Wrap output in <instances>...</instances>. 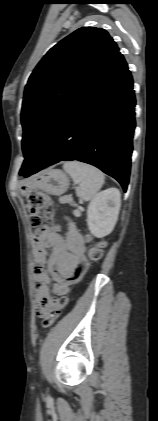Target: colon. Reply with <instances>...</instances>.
Segmentation results:
<instances>
[{
    "instance_id": "5ec220e1",
    "label": "colon",
    "mask_w": 158,
    "mask_h": 421,
    "mask_svg": "<svg viewBox=\"0 0 158 421\" xmlns=\"http://www.w3.org/2000/svg\"><path fill=\"white\" fill-rule=\"evenodd\" d=\"M27 209L31 226L36 233L42 229L46 220H49L54 216V208L51 199L42 192H33L29 194L27 198ZM58 228V226H54L55 230H58ZM104 246V242H98L90 249L89 258L92 261L101 259ZM67 303L68 299L66 297H61L57 300V304L54 307L43 311L41 313L42 326L45 328L52 326L61 315V312Z\"/></svg>"
}]
</instances>
